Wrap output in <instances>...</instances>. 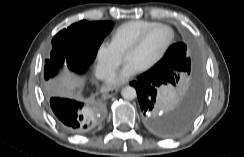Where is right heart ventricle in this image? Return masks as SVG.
<instances>
[{"instance_id": "obj_1", "label": "right heart ventricle", "mask_w": 244, "mask_h": 157, "mask_svg": "<svg viewBox=\"0 0 244 157\" xmlns=\"http://www.w3.org/2000/svg\"><path fill=\"white\" fill-rule=\"evenodd\" d=\"M158 24L149 20H130L119 25L111 36L115 48L123 54L126 48L147 28Z\"/></svg>"}]
</instances>
